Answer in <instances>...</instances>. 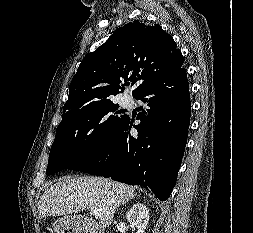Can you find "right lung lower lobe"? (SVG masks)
I'll return each mask as SVG.
<instances>
[{"mask_svg": "<svg viewBox=\"0 0 253 233\" xmlns=\"http://www.w3.org/2000/svg\"><path fill=\"white\" fill-rule=\"evenodd\" d=\"M144 102L130 135L132 121L125 116L106 146L71 170L111 177L141 185L162 201L176 183L190 123V96L186 70L180 67L149 83L136 96Z\"/></svg>", "mask_w": 253, "mask_h": 233, "instance_id": "98d812e1", "label": "right lung lower lobe"}]
</instances>
